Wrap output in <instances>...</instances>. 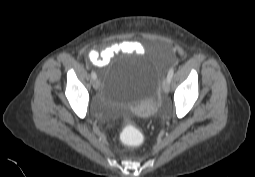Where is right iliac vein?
<instances>
[{"mask_svg":"<svg viewBox=\"0 0 255 177\" xmlns=\"http://www.w3.org/2000/svg\"><path fill=\"white\" fill-rule=\"evenodd\" d=\"M92 84H93V88L95 90H97L99 88L100 83H99L98 79H94Z\"/></svg>","mask_w":255,"mask_h":177,"instance_id":"obj_1","label":"right iliac vein"}]
</instances>
